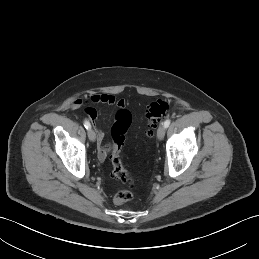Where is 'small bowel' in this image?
Returning a JSON list of instances; mask_svg holds the SVG:
<instances>
[{"label": "small bowel", "instance_id": "small-bowel-1", "mask_svg": "<svg viewBox=\"0 0 259 259\" xmlns=\"http://www.w3.org/2000/svg\"><path fill=\"white\" fill-rule=\"evenodd\" d=\"M87 101L93 104H105L110 106H116L119 109H124L126 106L125 100L116 98L111 94H92L87 97ZM82 106V100H76L73 103V107L78 108ZM86 114L88 118L92 121L93 124H96L97 121V111L93 108H86ZM98 149L97 155L100 161H105L108 153L110 151V145L103 143L105 138V133L99 127L96 128Z\"/></svg>", "mask_w": 259, "mask_h": 259}]
</instances>
